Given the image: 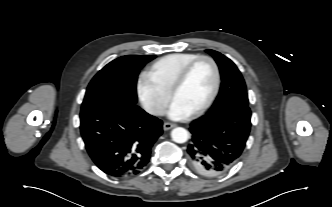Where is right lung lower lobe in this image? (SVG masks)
<instances>
[{
	"instance_id": "right-lung-lower-lobe-1",
	"label": "right lung lower lobe",
	"mask_w": 332,
	"mask_h": 207,
	"mask_svg": "<svg viewBox=\"0 0 332 207\" xmlns=\"http://www.w3.org/2000/svg\"><path fill=\"white\" fill-rule=\"evenodd\" d=\"M80 130L96 166L113 177L138 174L150 161L162 121L137 105L110 102L82 109Z\"/></svg>"
}]
</instances>
